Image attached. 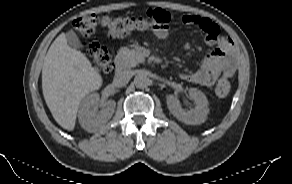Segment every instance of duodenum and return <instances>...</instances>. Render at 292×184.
Masks as SVG:
<instances>
[{"label": "duodenum", "mask_w": 292, "mask_h": 184, "mask_svg": "<svg viewBox=\"0 0 292 184\" xmlns=\"http://www.w3.org/2000/svg\"><path fill=\"white\" fill-rule=\"evenodd\" d=\"M114 66L117 71H122L124 62L121 56H117L114 61Z\"/></svg>", "instance_id": "duodenum-1"}]
</instances>
